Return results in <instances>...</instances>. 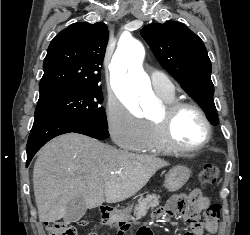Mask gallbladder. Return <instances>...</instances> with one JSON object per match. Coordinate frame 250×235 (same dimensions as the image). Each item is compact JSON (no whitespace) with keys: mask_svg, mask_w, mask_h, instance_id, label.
Segmentation results:
<instances>
[{"mask_svg":"<svg viewBox=\"0 0 250 235\" xmlns=\"http://www.w3.org/2000/svg\"><path fill=\"white\" fill-rule=\"evenodd\" d=\"M87 207L82 197H74L70 200L66 207V213L63 217L67 223L77 222L86 213Z\"/></svg>","mask_w":250,"mask_h":235,"instance_id":"1","label":"gallbladder"}]
</instances>
